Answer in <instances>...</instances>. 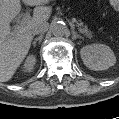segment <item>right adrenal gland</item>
I'll return each mask as SVG.
<instances>
[{
    "instance_id": "obj_1",
    "label": "right adrenal gland",
    "mask_w": 119,
    "mask_h": 119,
    "mask_svg": "<svg viewBox=\"0 0 119 119\" xmlns=\"http://www.w3.org/2000/svg\"><path fill=\"white\" fill-rule=\"evenodd\" d=\"M42 38H43V35H40L39 37L35 38L33 41V45L35 46L37 41L41 42Z\"/></svg>"
}]
</instances>
